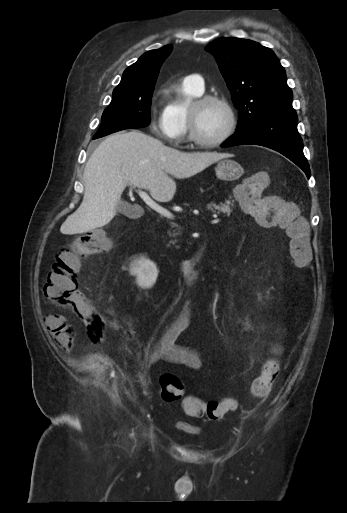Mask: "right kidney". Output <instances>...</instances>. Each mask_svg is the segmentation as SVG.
Masks as SVG:
<instances>
[{
	"mask_svg": "<svg viewBox=\"0 0 347 513\" xmlns=\"http://www.w3.org/2000/svg\"><path fill=\"white\" fill-rule=\"evenodd\" d=\"M131 274L136 276L140 287L150 288L156 282L158 269L154 262L142 257L132 265Z\"/></svg>",
	"mask_w": 347,
	"mask_h": 513,
	"instance_id": "right-kidney-1",
	"label": "right kidney"
}]
</instances>
